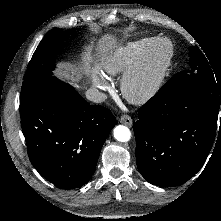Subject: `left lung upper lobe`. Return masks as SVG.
<instances>
[{
  "mask_svg": "<svg viewBox=\"0 0 221 221\" xmlns=\"http://www.w3.org/2000/svg\"><path fill=\"white\" fill-rule=\"evenodd\" d=\"M190 56V64H191V71L189 74L186 72H179L177 73L174 78H186L192 74H198L207 77H214L213 71L208 64V61L204 54L197 49L196 47H192L189 53Z\"/></svg>",
  "mask_w": 221,
  "mask_h": 221,
  "instance_id": "left-lung-upper-lobe-1",
  "label": "left lung upper lobe"
}]
</instances>
